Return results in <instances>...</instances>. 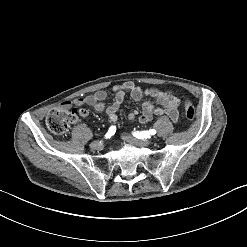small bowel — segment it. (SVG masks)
<instances>
[{
	"instance_id": "small-bowel-1",
	"label": "small bowel",
	"mask_w": 247,
	"mask_h": 247,
	"mask_svg": "<svg viewBox=\"0 0 247 247\" xmlns=\"http://www.w3.org/2000/svg\"><path fill=\"white\" fill-rule=\"evenodd\" d=\"M113 91L115 93V97L111 105H107L106 103V91L98 90L93 94L77 97L72 101L64 102L62 107L70 108L71 106L81 107L88 105L99 112H104L108 116L110 122L116 123L118 120L117 111L124 102L127 94H129L131 99L134 101H140L143 96L146 95L152 98L156 104L149 101L145 102L142 105L141 113L135 110L129 114V119H136L139 117V121L145 124L150 122L153 116L162 115L165 113L173 122L178 121V107L180 105V99L175 91L161 90L154 87L143 90L131 81L115 85L113 87ZM79 114L80 117H87L89 115V111L85 108H81L79 109Z\"/></svg>"
}]
</instances>
